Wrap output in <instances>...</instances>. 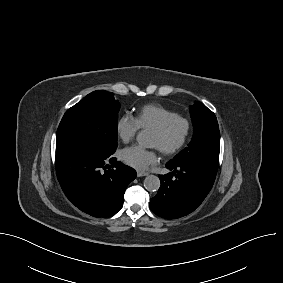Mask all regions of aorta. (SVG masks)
<instances>
[{
    "mask_svg": "<svg viewBox=\"0 0 283 283\" xmlns=\"http://www.w3.org/2000/svg\"><path fill=\"white\" fill-rule=\"evenodd\" d=\"M136 140L140 146L148 145V136L141 132L137 135ZM160 179L155 175H149L144 180V187L146 190L154 192L160 188Z\"/></svg>",
    "mask_w": 283,
    "mask_h": 283,
    "instance_id": "762f6f07",
    "label": "aorta"
}]
</instances>
